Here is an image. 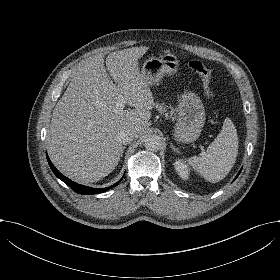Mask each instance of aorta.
Wrapping results in <instances>:
<instances>
[{
    "mask_svg": "<svg viewBox=\"0 0 280 280\" xmlns=\"http://www.w3.org/2000/svg\"><path fill=\"white\" fill-rule=\"evenodd\" d=\"M144 146L149 151H158L162 147V138L157 134H150L144 138Z\"/></svg>",
    "mask_w": 280,
    "mask_h": 280,
    "instance_id": "aorta-1",
    "label": "aorta"
}]
</instances>
